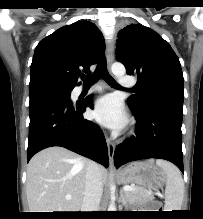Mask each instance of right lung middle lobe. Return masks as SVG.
I'll return each mask as SVG.
<instances>
[{"label": "right lung middle lobe", "instance_id": "obj_1", "mask_svg": "<svg viewBox=\"0 0 203 219\" xmlns=\"http://www.w3.org/2000/svg\"><path fill=\"white\" fill-rule=\"evenodd\" d=\"M74 87L62 84L54 80H37L30 82V96L38 92H57L70 99L71 91Z\"/></svg>", "mask_w": 203, "mask_h": 219}]
</instances>
